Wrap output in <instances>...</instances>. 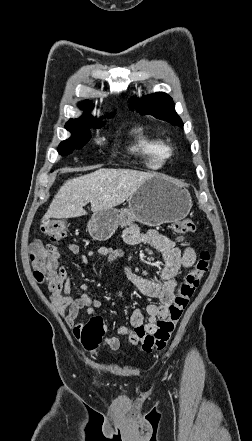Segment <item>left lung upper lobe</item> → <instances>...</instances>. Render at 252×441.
<instances>
[{"instance_id": "1", "label": "left lung upper lobe", "mask_w": 252, "mask_h": 441, "mask_svg": "<svg viewBox=\"0 0 252 441\" xmlns=\"http://www.w3.org/2000/svg\"><path fill=\"white\" fill-rule=\"evenodd\" d=\"M174 103L171 97L163 92H157L143 98L133 97L129 108H135L139 113L149 114L153 117L168 121L173 125L183 126V123L175 112Z\"/></svg>"}]
</instances>
